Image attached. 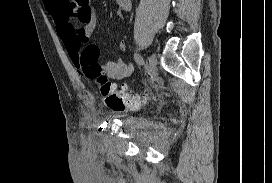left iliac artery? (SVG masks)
Segmentation results:
<instances>
[{
    "label": "left iliac artery",
    "mask_w": 272,
    "mask_h": 183,
    "mask_svg": "<svg viewBox=\"0 0 272 183\" xmlns=\"http://www.w3.org/2000/svg\"><path fill=\"white\" fill-rule=\"evenodd\" d=\"M134 60L138 65L144 64V60H143L142 56L137 52L134 53Z\"/></svg>",
    "instance_id": "44dca946"
}]
</instances>
